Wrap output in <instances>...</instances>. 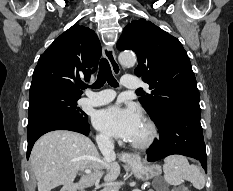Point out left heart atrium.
Returning a JSON list of instances; mask_svg holds the SVG:
<instances>
[{
    "instance_id": "obj_1",
    "label": "left heart atrium",
    "mask_w": 233,
    "mask_h": 191,
    "mask_svg": "<svg viewBox=\"0 0 233 191\" xmlns=\"http://www.w3.org/2000/svg\"><path fill=\"white\" fill-rule=\"evenodd\" d=\"M93 123L96 128L113 137L131 141L142 119L137 109L114 104L98 110L94 114Z\"/></svg>"
}]
</instances>
